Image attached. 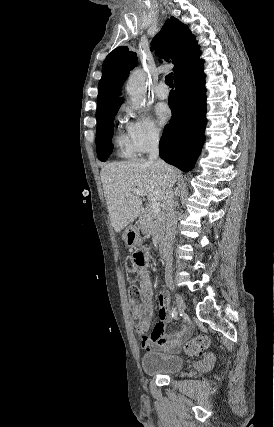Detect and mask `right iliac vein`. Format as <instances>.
I'll return each instance as SVG.
<instances>
[{
  "label": "right iliac vein",
  "mask_w": 274,
  "mask_h": 427,
  "mask_svg": "<svg viewBox=\"0 0 274 427\" xmlns=\"http://www.w3.org/2000/svg\"><path fill=\"white\" fill-rule=\"evenodd\" d=\"M168 286L170 288V290L172 292L175 293V297H176V303H177V307L179 309V312H181L182 314L185 312L186 310V306L184 303L183 298L181 297V295L177 292L176 288L174 287L172 281H169Z\"/></svg>",
  "instance_id": "right-iliac-vein-1"
}]
</instances>
